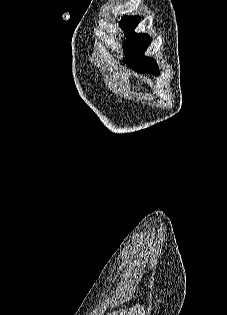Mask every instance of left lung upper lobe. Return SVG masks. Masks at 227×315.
I'll return each instance as SVG.
<instances>
[{
  "label": "left lung upper lobe",
  "instance_id": "1",
  "mask_svg": "<svg viewBox=\"0 0 227 315\" xmlns=\"http://www.w3.org/2000/svg\"><path fill=\"white\" fill-rule=\"evenodd\" d=\"M139 21V17L129 16H124L120 21V27L123 31H125L126 34V44L124 48L126 58H124V62L127 65L129 62L132 61L131 53L135 51L140 45H142L145 41L150 42L151 39L148 35L134 33L133 30L138 25Z\"/></svg>",
  "mask_w": 227,
  "mask_h": 315
}]
</instances>
